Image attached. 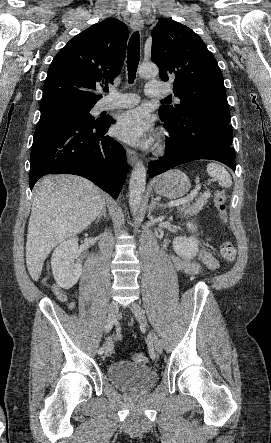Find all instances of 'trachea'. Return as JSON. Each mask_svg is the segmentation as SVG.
I'll use <instances>...</instances> for the list:
<instances>
[{"instance_id": "trachea-1", "label": "trachea", "mask_w": 271, "mask_h": 443, "mask_svg": "<svg viewBox=\"0 0 271 443\" xmlns=\"http://www.w3.org/2000/svg\"><path fill=\"white\" fill-rule=\"evenodd\" d=\"M140 36L139 33H134L128 44L127 49V69L128 82L133 83L136 76L137 67L140 59ZM162 101L171 102L170 98H164Z\"/></svg>"}]
</instances>
